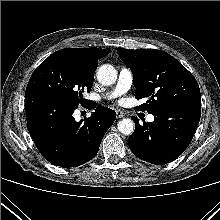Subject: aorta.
<instances>
[{
    "instance_id": "obj_1",
    "label": "aorta",
    "mask_w": 220,
    "mask_h": 220,
    "mask_svg": "<svg viewBox=\"0 0 220 220\" xmlns=\"http://www.w3.org/2000/svg\"><path fill=\"white\" fill-rule=\"evenodd\" d=\"M117 79V71L110 64H104L97 71V80L105 86L112 85ZM117 128L124 135H131L134 132V122L127 118L118 122Z\"/></svg>"
}]
</instances>
